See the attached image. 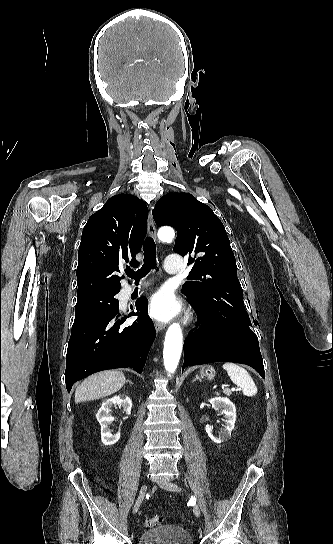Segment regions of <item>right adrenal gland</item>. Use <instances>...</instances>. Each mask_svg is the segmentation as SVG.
Segmentation results:
<instances>
[{
	"label": "right adrenal gland",
	"mask_w": 333,
	"mask_h": 544,
	"mask_svg": "<svg viewBox=\"0 0 333 544\" xmlns=\"http://www.w3.org/2000/svg\"><path fill=\"white\" fill-rule=\"evenodd\" d=\"M127 382H128L129 384H132V382H131V381H129V380H127Z\"/></svg>",
	"instance_id": "2a0ac1e0"
}]
</instances>
